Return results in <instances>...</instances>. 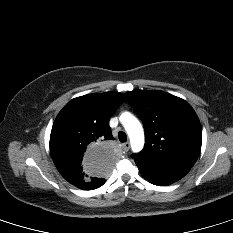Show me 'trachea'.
Returning a JSON list of instances; mask_svg holds the SVG:
<instances>
[{"label":"trachea","instance_id":"obj_1","mask_svg":"<svg viewBox=\"0 0 233 233\" xmlns=\"http://www.w3.org/2000/svg\"><path fill=\"white\" fill-rule=\"evenodd\" d=\"M118 137H119V141H120V142H126V140H127V135H126V133H124V132H122V131H120V132L118 133Z\"/></svg>","mask_w":233,"mask_h":233}]
</instances>
